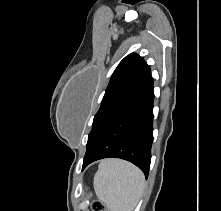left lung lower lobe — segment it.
Masks as SVG:
<instances>
[{
    "mask_svg": "<svg viewBox=\"0 0 221 211\" xmlns=\"http://www.w3.org/2000/svg\"><path fill=\"white\" fill-rule=\"evenodd\" d=\"M153 78L109 123L86 152L83 169L93 161L116 157L138 166L148 177L153 141Z\"/></svg>",
    "mask_w": 221,
    "mask_h": 211,
    "instance_id": "0a47b994",
    "label": "left lung lower lobe"
}]
</instances>
